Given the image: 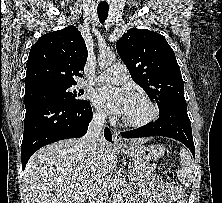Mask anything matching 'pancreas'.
Here are the masks:
<instances>
[{"label": "pancreas", "instance_id": "cf45deb5", "mask_svg": "<svg viewBox=\"0 0 222 203\" xmlns=\"http://www.w3.org/2000/svg\"><path fill=\"white\" fill-rule=\"evenodd\" d=\"M130 178L133 181H141L145 177L152 174L155 166H150L146 163H140L138 161H133L130 165Z\"/></svg>", "mask_w": 222, "mask_h": 203}]
</instances>
